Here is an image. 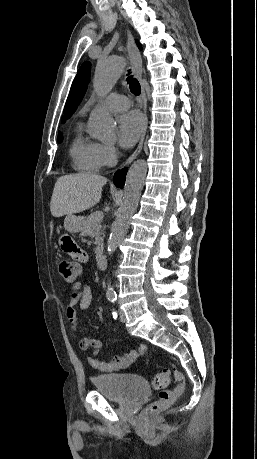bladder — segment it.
Returning a JSON list of instances; mask_svg holds the SVG:
<instances>
[{
	"instance_id": "bladder-1",
	"label": "bladder",
	"mask_w": 257,
	"mask_h": 459,
	"mask_svg": "<svg viewBox=\"0 0 257 459\" xmlns=\"http://www.w3.org/2000/svg\"><path fill=\"white\" fill-rule=\"evenodd\" d=\"M96 391L118 403H130L149 395L148 383L129 373L96 375L92 378Z\"/></svg>"
}]
</instances>
